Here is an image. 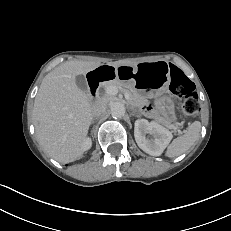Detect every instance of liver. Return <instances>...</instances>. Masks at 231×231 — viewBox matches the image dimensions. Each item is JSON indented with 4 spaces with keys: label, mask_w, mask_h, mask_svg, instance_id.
Segmentation results:
<instances>
[{
    "label": "liver",
    "mask_w": 231,
    "mask_h": 231,
    "mask_svg": "<svg viewBox=\"0 0 231 231\" xmlns=\"http://www.w3.org/2000/svg\"><path fill=\"white\" fill-rule=\"evenodd\" d=\"M136 64L124 60L109 63L115 69ZM100 65L67 61L45 76L36 95L33 118L37 141L46 153L61 163L81 158L93 117V105L76 85V76L85 75Z\"/></svg>",
    "instance_id": "1"
}]
</instances>
